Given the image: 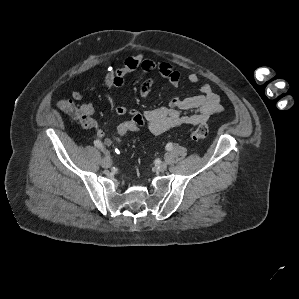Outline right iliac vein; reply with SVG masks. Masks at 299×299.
Returning a JSON list of instances; mask_svg holds the SVG:
<instances>
[{
    "mask_svg": "<svg viewBox=\"0 0 299 299\" xmlns=\"http://www.w3.org/2000/svg\"><path fill=\"white\" fill-rule=\"evenodd\" d=\"M101 165L104 168H109L111 166V163L108 158L104 157L101 159Z\"/></svg>",
    "mask_w": 299,
    "mask_h": 299,
    "instance_id": "obj_1",
    "label": "right iliac vein"
}]
</instances>
